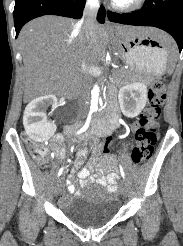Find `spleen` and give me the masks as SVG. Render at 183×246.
<instances>
[{"instance_id":"obj_1","label":"spleen","mask_w":183,"mask_h":246,"mask_svg":"<svg viewBox=\"0 0 183 246\" xmlns=\"http://www.w3.org/2000/svg\"><path fill=\"white\" fill-rule=\"evenodd\" d=\"M175 61H176V57L173 56V57H172V66L174 65ZM168 72L170 73V72H171V69H169Z\"/></svg>"}]
</instances>
